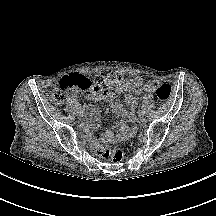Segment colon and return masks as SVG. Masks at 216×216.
<instances>
[{
    "label": "colon",
    "instance_id": "colon-1",
    "mask_svg": "<svg viewBox=\"0 0 216 216\" xmlns=\"http://www.w3.org/2000/svg\"><path fill=\"white\" fill-rule=\"evenodd\" d=\"M104 84L101 77L95 82L80 74H71L61 79L58 86L49 94V99L56 105H62L69 98L81 93H91ZM154 92L162 101H168L172 96V87L165 83L154 82ZM97 153L102 157H108L114 162H121L124 158L122 150L101 144L97 147Z\"/></svg>",
    "mask_w": 216,
    "mask_h": 216
}]
</instances>
